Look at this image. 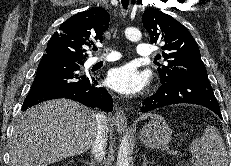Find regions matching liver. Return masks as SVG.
Masks as SVG:
<instances>
[{
    "label": "liver",
    "instance_id": "1",
    "mask_svg": "<svg viewBox=\"0 0 231 166\" xmlns=\"http://www.w3.org/2000/svg\"><path fill=\"white\" fill-rule=\"evenodd\" d=\"M145 114L140 119L152 117ZM97 135L95 113L59 99L29 108L16 125L9 166H47L88 151Z\"/></svg>",
    "mask_w": 231,
    "mask_h": 166
}]
</instances>
